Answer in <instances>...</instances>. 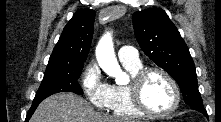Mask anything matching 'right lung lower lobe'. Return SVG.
<instances>
[{
	"instance_id": "right-lung-lower-lobe-1",
	"label": "right lung lower lobe",
	"mask_w": 221,
	"mask_h": 122,
	"mask_svg": "<svg viewBox=\"0 0 221 122\" xmlns=\"http://www.w3.org/2000/svg\"><path fill=\"white\" fill-rule=\"evenodd\" d=\"M40 102H33L31 108L29 109L27 116H26V121H28L32 114L34 113L35 109L37 108V106L39 105Z\"/></svg>"
}]
</instances>
